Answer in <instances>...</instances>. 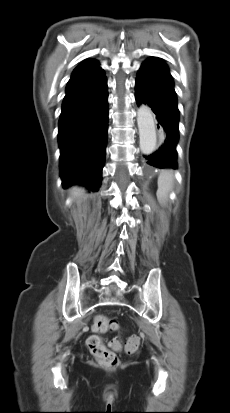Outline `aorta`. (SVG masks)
I'll return each instance as SVG.
<instances>
[{
  "mask_svg": "<svg viewBox=\"0 0 230 413\" xmlns=\"http://www.w3.org/2000/svg\"><path fill=\"white\" fill-rule=\"evenodd\" d=\"M137 123L140 137V149L143 154H151L157 144L155 118L147 105H142L137 111Z\"/></svg>",
  "mask_w": 230,
  "mask_h": 413,
  "instance_id": "obj_1",
  "label": "aorta"
}]
</instances>
